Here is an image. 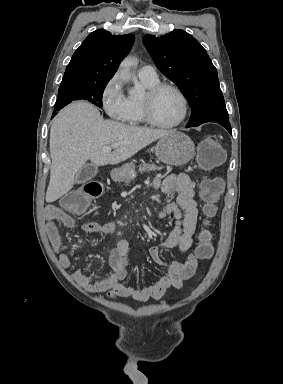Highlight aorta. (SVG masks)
<instances>
[{
	"instance_id": "1",
	"label": "aorta",
	"mask_w": 283,
	"mask_h": 384,
	"mask_svg": "<svg viewBox=\"0 0 283 384\" xmlns=\"http://www.w3.org/2000/svg\"><path fill=\"white\" fill-rule=\"evenodd\" d=\"M134 63L135 60L132 57H127L121 62V76L124 81H127L129 79V71L130 68L134 65ZM130 94H135V91L131 90Z\"/></svg>"
}]
</instances>
